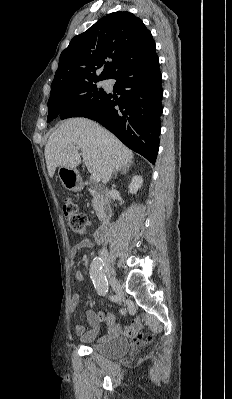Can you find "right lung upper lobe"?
I'll list each match as a JSON object with an SVG mask.
<instances>
[{
  "label": "right lung upper lobe",
  "mask_w": 232,
  "mask_h": 399,
  "mask_svg": "<svg viewBox=\"0 0 232 399\" xmlns=\"http://www.w3.org/2000/svg\"><path fill=\"white\" fill-rule=\"evenodd\" d=\"M156 51L151 32L130 12L110 13L75 36L59 58L51 95L110 79L125 66Z\"/></svg>",
  "instance_id": "cb5924a9"
}]
</instances>
